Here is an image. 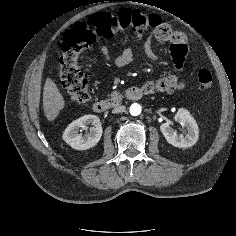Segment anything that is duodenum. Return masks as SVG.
Instances as JSON below:
<instances>
[{
	"instance_id": "duodenum-1",
	"label": "duodenum",
	"mask_w": 236,
	"mask_h": 236,
	"mask_svg": "<svg viewBox=\"0 0 236 236\" xmlns=\"http://www.w3.org/2000/svg\"><path fill=\"white\" fill-rule=\"evenodd\" d=\"M147 91L144 87L141 86H133L126 89L123 93L116 94L107 100H99L92 104V109L95 112L103 113L108 111L109 109L120 105L124 99L136 101L145 96Z\"/></svg>"
}]
</instances>
